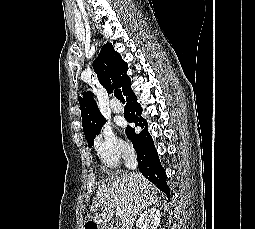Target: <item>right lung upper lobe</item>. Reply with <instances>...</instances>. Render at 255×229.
Returning a JSON list of instances; mask_svg holds the SVG:
<instances>
[{
    "label": "right lung upper lobe",
    "instance_id": "1",
    "mask_svg": "<svg viewBox=\"0 0 255 229\" xmlns=\"http://www.w3.org/2000/svg\"><path fill=\"white\" fill-rule=\"evenodd\" d=\"M93 68L99 82L108 93H111L114 88H122V91L126 89L129 82V77L126 75L128 65L122 60L121 55L114 50L111 43L108 42L102 47L98 58L93 62ZM83 96V98H79L82 126L86 139H89L105 122V119L93 101L91 93L84 92Z\"/></svg>",
    "mask_w": 255,
    "mask_h": 229
}]
</instances>
